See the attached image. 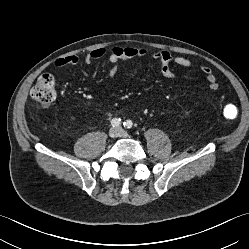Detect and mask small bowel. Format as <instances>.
<instances>
[{"label": "small bowel", "mask_w": 249, "mask_h": 249, "mask_svg": "<svg viewBox=\"0 0 249 249\" xmlns=\"http://www.w3.org/2000/svg\"><path fill=\"white\" fill-rule=\"evenodd\" d=\"M106 55V50L103 48H97L84 56V63L90 64L93 61L99 60ZM148 55L147 49L137 46L120 47L116 46L111 49L108 53V61L112 65L109 70V78L116 80L120 65L123 62H128L137 58H143ZM151 58L160 64V72L163 77L167 79L174 78L176 76L177 67L190 68L193 66V62L183 56H177L172 54L170 51L162 49L155 51L151 54ZM80 59L77 55H69L56 59L55 66L62 68L65 66H75L79 63ZM200 70L204 74L209 89L216 91L219 87L217 77L215 76L212 69L205 64L200 65ZM111 92L110 87H104L103 93L108 95Z\"/></svg>", "instance_id": "1"}]
</instances>
